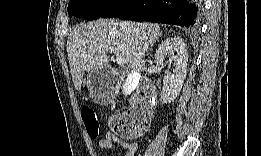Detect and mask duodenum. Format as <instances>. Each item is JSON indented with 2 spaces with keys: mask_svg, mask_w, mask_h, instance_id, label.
<instances>
[{
  "mask_svg": "<svg viewBox=\"0 0 261 156\" xmlns=\"http://www.w3.org/2000/svg\"><path fill=\"white\" fill-rule=\"evenodd\" d=\"M123 76V72H118ZM139 96L133 102V108L130 111L129 122L131 125L139 124L143 121H148L154 113V100L156 91L153 85L148 81H143L141 84Z\"/></svg>",
  "mask_w": 261,
  "mask_h": 156,
  "instance_id": "1",
  "label": "duodenum"
}]
</instances>
